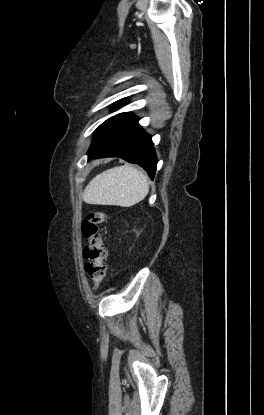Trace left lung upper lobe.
I'll return each instance as SVG.
<instances>
[{
	"label": "left lung upper lobe",
	"instance_id": "5c2ea615",
	"mask_svg": "<svg viewBox=\"0 0 264 415\" xmlns=\"http://www.w3.org/2000/svg\"><path fill=\"white\" fill-rule=\"evenodd\" d=\"M123 100V99H122ZM122 100H119L118 102H120V101H122ZM118 102H115L114 104H117Z\"/></svg>",
	"mask_w": 264,
	"mask_h": 415
}]
</instances>
